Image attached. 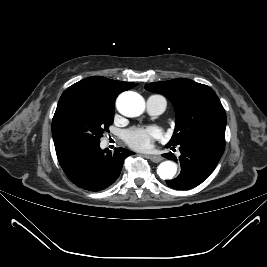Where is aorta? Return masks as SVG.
I'll return each mask as SVG.
<instances>
[{"label": "aorta", "instance_id": "obj_1", "mask_svg": "<svg viewBox=\"0 0 267 267\" xmlns=\"http://www.w3.org/2000/svg\"><path fill=\"white\" fill-rule=\"evenodd\" d=\"M118 111L126 117L140 116L145 110V101L141 95L127 91L119 95L116 101ZM177 172V165L172 161H164L157 168V174L163 180L172 179Z\"/></svg>", "mask_w": 267, "mask_h": 267}]
</instances>
